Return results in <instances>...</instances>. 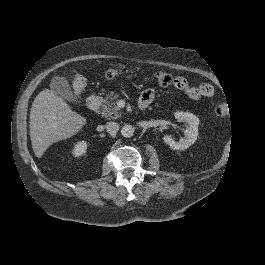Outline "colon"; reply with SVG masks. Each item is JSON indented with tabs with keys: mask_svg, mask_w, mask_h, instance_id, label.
<instances>
[{
	"mask_svg": "<svg viewBox=\"0 0 265 265\" xmlns=\"http://www.w3.org/2000/svg\"><path fill=\"white\" fill-rule=\"evenodd\" d=\"M119 72H121V69H110L107 74L110 77H114L117 75ZM156 81L158 82L159 85L161 86H167L171 83L172 77L169 73L164 72V71H159L155 74ZM85 86V79L82 75L80 74H75L73 76V81H72V90L73 94L75 96H78L81 91L83 90ZM229 105L226 103H220L216 106L215 112L219 116H226L229 113Z\"/></svg>",
	"mask_w": 265,
	"mask_h": 265,
	"instance_id": "5ec220e1",
	"label": "colon"
}]
</instances>
